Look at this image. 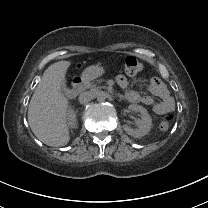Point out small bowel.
I'll return each mask as SVG.
<instances>
[{
  "label": "small bowel",
  "mask_w": 208,
  "mask_h": 208,
  "mask_svg": "<svg viewBox=\"0 0 208 208\" xmlns=\"http://www.w3.org/2000/svg\"><path fill=\"white\" fill-rule=\"evenodd\" d=\"M143 80L144 78L139 79L140 82ZM116 82L121 88L126 90L125 97L129 102L142 103L146 106H150L157 115L170 113L174 110L173 98L163 81L157 77H153L149 80L147 89L153 96L159 97L160 101H156L150 95H141L138 91L129 89V81L123 74L117 76Z\"/></svg>",
  "instance_id": "obj_1"
}]
</instances>
